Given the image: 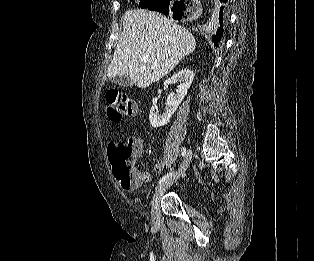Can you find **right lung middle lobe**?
Returning <instances> with one entry per match:
<instances>
[{
    "label": "right lung middle lobe",
    "mask_w": 314,
    "mask_h": 261,
    "mask_svg": "<svg viewBox=\"0 0 314 261\" xmlns=\"http://www.w3.org/2000/svg\"><path fill=\"white\" fill-rule=\"evenodd\" d=\"M161 1L162 0H139V6L141 8H148V7L155 5Z\"/></svg>",
    "instance_id": "obj_1"
}]
</instances>
